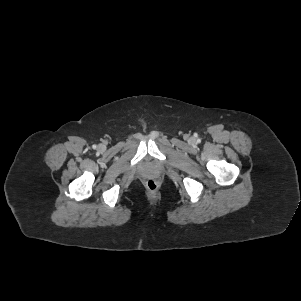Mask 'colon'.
<instances>
[{
  "mask_svg": "<svg viewBox=\"0 0 301 301\" xmlns=\"http://www.w3.org/2000/svg\"><path fill=\"white\" fill-rule=\"evenodd\" d=\"M146 187L149 191L155 192L158 189V183L155 180L150 179L146 182Z\"/></svg>",
  "mask_w": 301,
  "mask_h": 301,
  "instance_id": "5ec220e1",
  "label": "colon"
}]
</instances>
